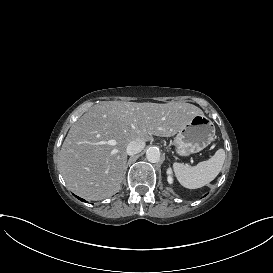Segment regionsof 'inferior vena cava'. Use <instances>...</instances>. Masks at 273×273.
Returning <instances> with one entry per match:
<instances>
[{
  "instance_id": "inferior-vena-cava-1",
  "label": "inferior vena cava",
  "mask_w": 273,
  "mask_h": 273,
  "mask_svg": "<svg viewBox=\"0 0 273 273\" xmlns=\"http://www.w3.org/2000/svg\"><path fill=\"white\" fill-rule=\"evenodd\" d=\"M145 147V142L139 139L131 141L126 148L128 155H134L141 152Z\"/></svg>"
}]
</instances>
